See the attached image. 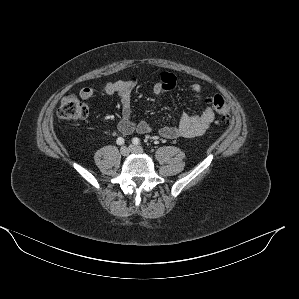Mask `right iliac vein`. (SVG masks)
Instances as JSON below:
<instances>
[{
    "label": "right iliac vein",
    "mask_w": 299,
    "mask_h": 299,
    "mask_svg": "<svg viewBox=\"0 0 299 299\" xmlns=\"http://www.w3.org/2000/svg\"><path fill=\"white\" fill-rule=\"evenodd\" d=\"M120 153L122 156H128L130 153V149L128 147L123 146L120 149Z\"/></svg>",
    "instance_id": "63e3f726"
}]
</instances>
